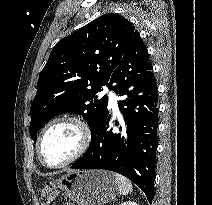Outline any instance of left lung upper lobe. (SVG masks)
<instances>
[{
	"instance_id": "5c2ea615",
	"label": "left lung upper lobe",
	"mask_w": 212,
	"mask_h": 205,
	"mask_svg": "<svg viewBox=\"0 0 212 205\" xmlns=\"http://www.w3.org/2000/svg\"><path fill=\"white\" fill-rule=\"evenodd\" d=\"M136 33L126 18L111 13L55 45L40 73L30 108L34 142L37 131L62 113L82 115L92 133L108 105V97L97 93L107 86Z\"/></svg>"
}]
</instances>
